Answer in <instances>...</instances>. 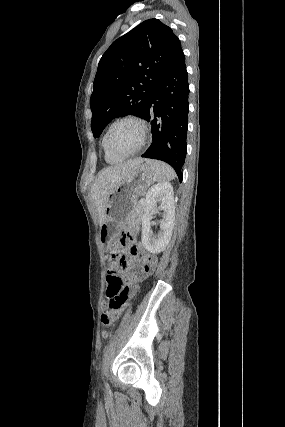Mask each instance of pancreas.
Wrapping results in <instances>:
<instances>
[{
  "label": "pancreas",
  "mask_w": 285,
  "mask_h": 427,
  "mask_svg": "<svg viewBox=\"0 0 285 427\" xmlns=\"http://www.w3.org/2000/svg\"><path fill=\"white\" fill-rule=\"evenodd\" d=\"M141 212H142V206L141 205L137 206V203H136L132 219H134L138 214H141Z\"/></svg>",
  "instance_id": "pancreas-1"
}]
</instances>
